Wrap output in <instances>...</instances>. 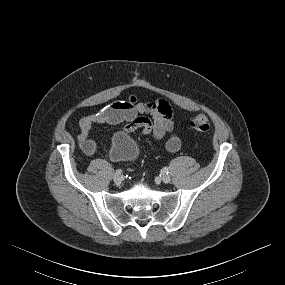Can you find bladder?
I'll return each mask as SVG.
<instances>
[{
  "label": "bladder",
  "mask_w": 285,
  "mask_h": 285,
  "mask_svg": "<svg viewBox=\"0 0 285 285\" xmlns=\"http://www.w3.org/2000/svg\"><path fill=\"white\" fill-rule=\"evenodd\" d=\"M109 155L116 161H134L140 155V147L130 135L119 132L112 137Z\"/></svg>",
  "instance_id": "bladder-1"
}]
</instances>
